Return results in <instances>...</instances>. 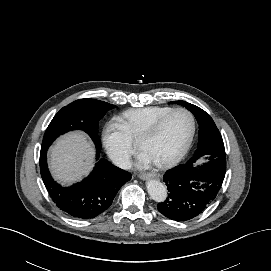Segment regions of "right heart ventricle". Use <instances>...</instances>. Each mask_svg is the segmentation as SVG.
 Returning a JSON list of instances; mask_svg holds the SVG:
<instances>
[{
    "mask_svg": "<svg viewBox=\"0 0 271 271\" xmlns=\"http://www.w3.org/2000/svg\"><path fill=\"white\" fill-rule=\"evenodd\" d=\"M170 106H148L130 109L117 116L118 124L132 140H139L141 134L164 114L172 110Z\"/></svg>",
    "mask_w": 271,
    "mask_h": 271,
    "instance_id": "obj_1",
    "label": "right heart ventricle"
}]
</instances>
